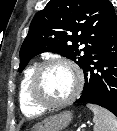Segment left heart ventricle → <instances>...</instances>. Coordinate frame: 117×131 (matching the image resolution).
Here are the masks:
<instances>
[{
	"label": "left heart ventricle",
	"mask_w": 117,
	"mask_h": 131,
	"mask_svg": "<svg viewBox=\"0 0 117 131\" xmlns=\"http://www.w3.org/2000/svg\"><path fill=\"white\" fill-rule=\"evenodd\" d=\"M76 87V75L67 66L54 65L46 68L38 82L39 95L48 101L68 98Z\"/></svg>",
	"instance_id": "b2bd125f"
}]
</instances>
